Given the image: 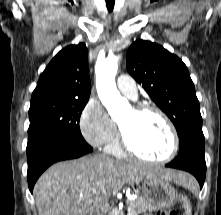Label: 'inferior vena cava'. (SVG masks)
<instances>
[{
  "mask_svg": "<svg viewBox=\"0 0 221 215\" xmlns=\"http://www.w3.org/2000/svg\"><path fill=\"white\" fill-rule=\"evenodd\" d=\"M107 213V202H98L93 207L94 215H106Z\"/></svg>",
  "mask_w": 221,
  "mask_h": 215,
  "instance_id": "1",
  "label": "inferior vena cava"
}]
</instances>
